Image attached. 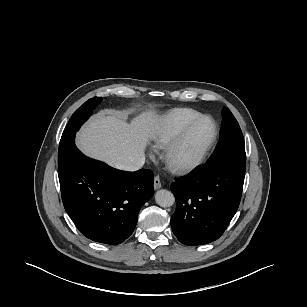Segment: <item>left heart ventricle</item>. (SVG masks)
I'll return each mask as SVG.
<instances>
[{"instance_id":"left-heart-ventricle-1","label":"left heart ventricle","mask_w":307,"mask_h":307,"mask_svg":"<svg viewBox=\"0 0 307 307\" xmlns=\"http://www.w3.org/2000/svg\"><path fill=\"white\" fill-rule=\"evenodd\" d=\"M213 134L214 126L210 120L204 119L198 122L178 150L175 160L179 163L195 160L208 146Z\"/></svg>"}]
</instances>
